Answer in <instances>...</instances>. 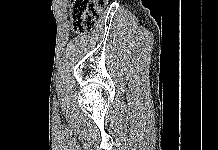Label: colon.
Returning a JSON list of instances; mask_svg holds the SVG:
<instances>
[{
  "label": "colon",
  "instance_id": "colon-1",
  "mask_svg": "<svg viewBox=\"0 0 218 150\" xmlns=\"http://www.w3.org/2000/svg\"><path fill=\"white\" fill-rule=\"evenodd\" d=\"M107 0H73L71 3L72 29L82 34L93 29Z\"/></svg>",
  "mask_w": 218,
  "mask_h": 150
}]
</instances>
